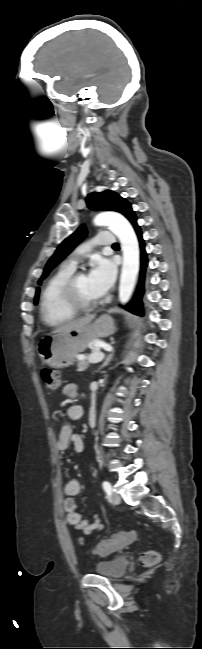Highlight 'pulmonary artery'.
Instances as JSON below:
<instances>
[{
  "instance_id": "obj_1",
  "label": "pulmonary artery",
  "mask_w": 202,
  "mask_h": 649,
  "mask_svg": "<svg viewBox=\"0 0 202 649\" xmlns=\"http://www.w3.org/2000/svg\"><path fill=\"white\" fill-rule=\"evenodd\" d=\"M116 239L114 235L109 232V231H102L99 232L93 241L88 244V245H83L78 248L77 252H83L87 249H89L91 246H105V247H111L115 244ZM67 264L70 265L71 267H75L76 265V259L74 256L70 257L69 260L67 261Z\"/></svg>"
}]
</instances>
